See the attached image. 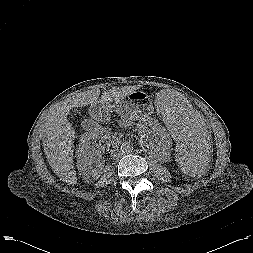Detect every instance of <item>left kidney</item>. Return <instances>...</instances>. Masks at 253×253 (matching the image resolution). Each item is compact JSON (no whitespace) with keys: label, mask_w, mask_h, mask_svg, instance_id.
Returning <instances> with one entry per match:
<instances>
[{"label":"left kidney","mask_w":253,"mask_h":253,"mask_svg":"<svg viewBox=\"0 0 253 253\" xmlns=\"http://www.w3.org/2000/svg\"><path fill=\"white\" fill-rule=\"evenodd\" d=\"M138 134L142 144L159 157L170 153L171 138L167 130L155 119L144 120L138 125Z\"/></svg>","instance_id":"left-kidney-1"}]
</instances>
